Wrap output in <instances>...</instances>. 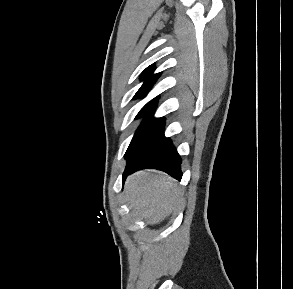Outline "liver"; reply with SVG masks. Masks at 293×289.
<instances>
[{
	"mask_svg": "<svg viewBox=\"0 0 293 289\" xmlns=\"http://www.w3.org/2000/svg\"><path fill=\"white\" fill-rule=\"evenodd\" d=\"M126 202L133 216L157 224L180 207L181 189L167 174L143 170L128 177L125 185Z\"/></svg>",
	"mask_w": 293,
	"mask_h": 289,
	"instance_id": "obj_1",
	"label": "liver"
}]
</instances>
